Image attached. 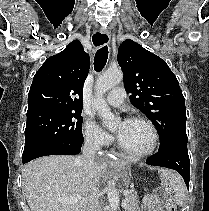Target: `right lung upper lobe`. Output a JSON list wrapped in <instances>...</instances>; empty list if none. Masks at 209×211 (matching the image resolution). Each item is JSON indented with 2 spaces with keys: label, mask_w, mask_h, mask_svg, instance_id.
Returning <instances> with one entry per match:
<instances>
[{
  "label": "right lung upper lobe",
  "mask_w": 209,
  "mask_h": 211,
  "mask_svg": "<svg viewBox=\"0 0 209 211\" xmlns=\"http://www.w3.org/2000/svg\"><path fill=\"white\" fill-rule=\"evenodd\" d=\"M90 58L78 40L49 57L36 72L28 94L27 113L39 110H81Z\"/></svg>",
  "instance_id": "right-lung-upper-lobe-1"
}]
</instances>
